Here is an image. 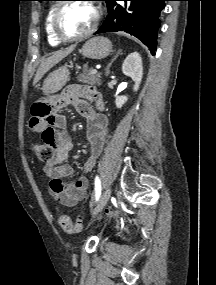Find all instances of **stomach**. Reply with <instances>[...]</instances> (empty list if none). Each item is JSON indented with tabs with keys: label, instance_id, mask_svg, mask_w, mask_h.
Segmentation results:
<instances>
[{
	"label": "stomach",
	"instance_id": "obj_1",
	"mask_svg": "<svg viewBox=\"0 0 216 285\" xmlns=\"http://www.w3.org/2000/svg\"><path fill=\"white\" fill-rule=\"evenodd\" d=\"M112 44L106 37H93L83 45L80 52L84 57L98 60L110 54ZM70 72L66 66L51 72L45 79L42 91L44 94H54L60 91L69 80Z\"/></svg>",
	"mask_w": 216,
	"mask_h": 285
}]
</instances>
